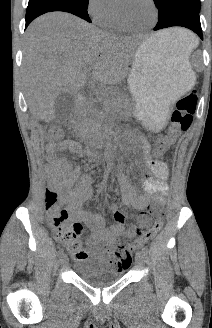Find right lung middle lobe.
Instances as JSON below:
<instances>
[{"label":"right lung middle lobe","instance_id":"obj_1","mask_svg":"<svg viewBox=\"0 0 212 328\" xmlns=\"http://www.w3.org/2000/svg\"><path fill=\"white\" fill-rule=\"evenodd\" d=\"M78 1H80V2H82L84 4H88V2H89V0H78Z\"/></svg>","mask_w":212,"mask_h":328}]
</instances>
